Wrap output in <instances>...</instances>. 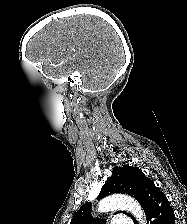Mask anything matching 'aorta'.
Wrapping results in <instances>:
<instances>
[{
    "label": "aorta",
    "instance_id": "aorta-1",
    "mask_svg": "<svg viewBox=\"0 0 187 224\" xmlns=\"http://www.w3.org/2000/svg\"><path fill=\"white\" fill-rule=\"evenodd\" d=\"M127 210L134 215L140 224H145V214L140 204L133 198L125 195L109 196L98 204V212L106 213L115 210Z\"/></svg>",
    "mask_w": 187,
    "mask_h": 224
}]
</instances>
